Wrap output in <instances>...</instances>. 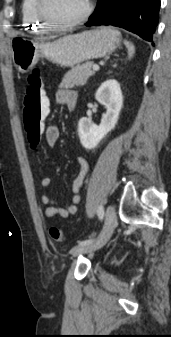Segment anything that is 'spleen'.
Masks as SVG:
<instances>
[{"instance_id":"spleen-1","label":"spleen","mask_w":171,"mask_h":337,"mask_svg":"<svg viewBox=\"0 0 171 337\" xmlns=\"http://www.w3.org/2000/svg\"><path fill=\"white\" fill-rule=\"evenodd\" d=\"M124 44L128 49V58L131 59L135 53V47L132 43H130L127 40L124 41Z\"/></svg>"}]
</instances>
